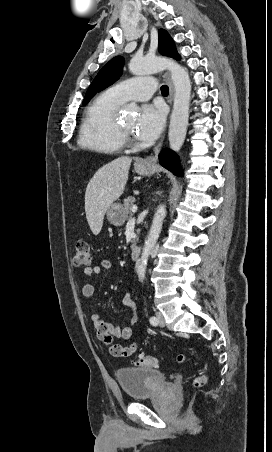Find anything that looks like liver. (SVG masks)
Returning a JSON list of instances; mask_svg holds the SVG:
<instances>
[{
  "instance_id": "1",
  "label": "liver",
  "mask_w": 272,
  "mask_h": 452,
  "mask_svg": "<svg viewBox=\"0 0 272 452\" xmlns=\"http://www.w3.org/2000/svg\"><path fill=\"white\" fill-rule=\"evenodd\" d=\"M131 162L130 157H119L98 169L88 183L85 212L94 235L100 233L108 208L123 194Z\"/></svg>"
}]
</instances>
